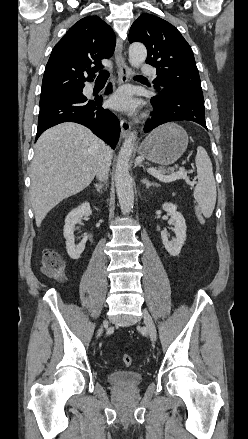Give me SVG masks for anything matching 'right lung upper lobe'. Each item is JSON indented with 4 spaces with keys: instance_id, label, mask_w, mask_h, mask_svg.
<instances>
[{
    "instance_id": "1",
    "label": "right lung upper lobe",
    "mask_w": 248,
    "mask_h": 439,
    "mask_svg": "<svg viewBox=\"0 0 248 439\" xmlns=\"http://www.w3.org/2000/svg\"><path fill=\"white\" fill-rule=\"evenodd\" d=\"M115 43L113 30L98 16L79 20L52 50L41 97L81 89L85 81H93L95 72L103 68L101 60L113 55Z\"/></svg>"
}]
</instances>
